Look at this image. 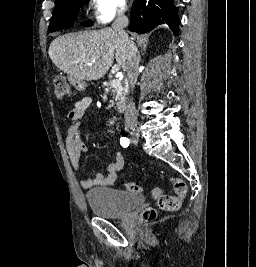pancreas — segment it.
I'll list each match as a JSON object with an SVG mask.
<instances>
[{
	"label": "pancreas",
	"mask_w": 256,
	"mask_h": 267,
	"mask_svg": "<svg viewBox=\"0 0 256 267\" xmlns=\"http://www.w3.org/2000/svg\"><path fill=\"white\" fill-rule=\"evenodd\" d=\"M105 90L106 92H112L114 100H111V102H113V104L114 102H117V106H124L127 90L125 78H122V80H116V82H108L105 86Z\"/></svg>",
	"instance_id": "1"
}]
</instances>
